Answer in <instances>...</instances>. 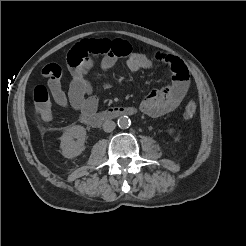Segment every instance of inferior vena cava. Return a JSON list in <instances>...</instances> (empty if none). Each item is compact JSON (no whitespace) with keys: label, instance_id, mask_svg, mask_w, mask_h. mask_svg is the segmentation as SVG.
Returning <instances> with one entry per match:
<instances>
[{"label":"inferior vena cava","instance_id":"602c4592","mask_svg":"<svg viewBox=\"0 0 246 246\" xmlns=\"http://www.w3.org/2000/svg\"><path fill=\"white\" fill-rule=\"evenodd\" d=\"M116 127V124L114 121L106 120L103 124V130L105 132H112Z\"/></svg>","mask_w":246,"mask_h":246}]
</instances>
